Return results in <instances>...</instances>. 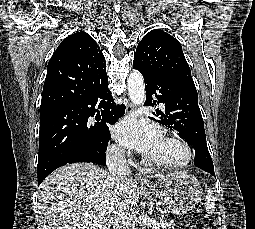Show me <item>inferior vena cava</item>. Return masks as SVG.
Segmentation results:
<instances>
[{
	"mask_svg": "<svg viewBox=\"0 0 255 229\" xmlns=\"http://www.w3.org/2000/svg\"><path fill=\"white\" fill-rule=\"evenodd\" d=\"M106 163L116 182L126 183L132 179L124 148L120 146L109 148L106 153ZM115 224L117 229H135V213L129 204L125 202L118 204Z\"/></svg>",
	"mask_w": 255,
	"mask_h": 229,
	"instance_id": "1",
	"label": "inferior vena cava"
}]
</instances>
